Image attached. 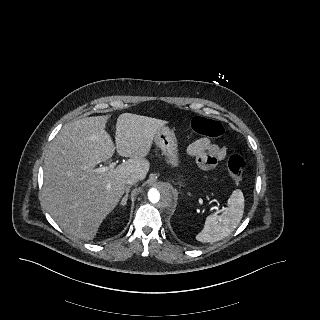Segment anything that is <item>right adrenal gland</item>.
I'll list each match as a JSON object with an SVG mask.
<instances>
[{
	"instance_id": "2a0ac1e0",
	"label": "right adrenal gland",
	"mask_w": 320,
	"mask_h": 320,
	"mask_svg": "<svg viewBox=\"0 0 320 320\" xmlns=\"http://www.w3.org/2000/svg\"><path fill=\"white\" fill-rule=\"evenodd\" d=\"M130 187H131V185H129V186L126 188V194H125V196L122 198V200H121V202H120V206H125V205L127 204Z\"/></svg>"
}]
</instances>
